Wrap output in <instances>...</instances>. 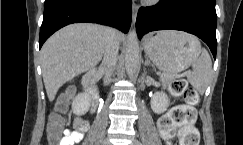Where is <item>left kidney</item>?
<instances>
[{
  "mask_svg": "<svg viewBox=\"0 0 243 145\" xmlns=\"http://www.w3.org/2000/svg\"><path fill=\"white\" fill-rule=\"evenodd\" d=\"M151 108L156 114L164 113L169 106V99L164 92H157L151 98Z\"/></svg>",
  "mask_w": 243,
  "mask_h": 145,
  "instance_id": "5707ae66",
  "label": "left kidney"
}]
</instances>
